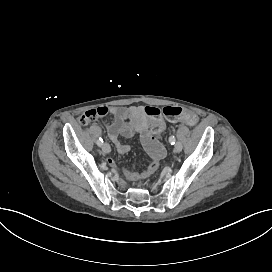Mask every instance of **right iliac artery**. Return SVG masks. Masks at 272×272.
Wrapping results in <instances>:
<instances>
[{
	"instance_id": "obj_1",
	"label": "right iliac artery",
	"mask_w": 272,
	"mask_h": 272,
	"mask_svg": "<svg viewBox=\"0 0 272 272\" xmlns=\"http://www.w3.org/2000/svg\"><path fill=\"white\" fill-rule=\"evenodd\" d=\"M102 143H103V139L100 137L99 140L97 141V144H98V146H101Z\"/></svg>"
}]
</instances>
